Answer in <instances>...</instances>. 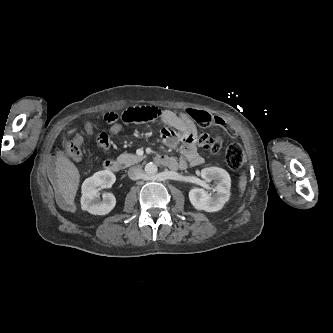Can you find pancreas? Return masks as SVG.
<instances>
[{"mask_svg": "<svg viewBox=\"0 0 333 333\" xmlns=\"http://www.w3.org/2000/svg\"><path fill=\"white\" fill-rule=\"evenodd\" d=\"M144 157L137 156L135 154L124 153L118 157V160L125 165V167H129L131 165L137 164L142 161Z\"/></svg>", "mask_w": 333, "mask_h": 333, "instance_id": "pancreas-1", "label": "pancreas"}]
</instances>
